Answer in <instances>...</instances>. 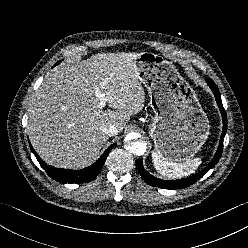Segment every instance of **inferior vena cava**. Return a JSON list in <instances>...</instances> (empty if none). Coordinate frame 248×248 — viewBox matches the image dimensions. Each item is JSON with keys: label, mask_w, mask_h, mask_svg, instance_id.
<instances>
[{"label": "inferior vena cava", "mask_w": 248, "mask_h": 248, "mask_svg": "<svg viewBox=\"0 0 248 248\" xmlns=\"http://www.w3.org/2000/svg\"><path fill=\"white\" fill-rule=\"evenodd\" d=\"M101 130L103 133H105L108 136H115L118 133V127L113 124H106L102 126Z\"/></svg>", "instance_id": "602c4592"}]
</instances>
